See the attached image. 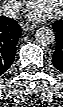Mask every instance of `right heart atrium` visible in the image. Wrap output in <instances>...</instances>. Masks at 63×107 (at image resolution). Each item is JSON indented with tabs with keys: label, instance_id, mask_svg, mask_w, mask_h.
<instances>
[{
	"label": "right heart atrium",
	"instance_id": "d8ad5b80",
	"mask_svg": "<svg viewBox=\"0 0 63 107\" xmlns=\"http://www.w3.org/2000/svg\"><path fill=\"white\" fill-rule=\"evenodd\" d=\"M10 2L12 3V8H13L14 10H16V9L19 8V6H20V1L12 0V1H10Z\"/></svg>",
	"mask_w": 63,
	"mask_h": 107
}]
</instances>
